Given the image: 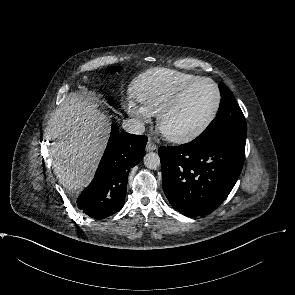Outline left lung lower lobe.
Here are the masks:
<instances>
[{
  "label": "left lung lower lobe",
  "instance_id": "obj_1",
  "mask_svg": "<svg viewBox=\"0 0 295 295\" xmlns=\"http://www.w3.org/2000/svg\"><path fill=\"white\" fill-rule=\"evenodd\" d=\"M162 185L172 207L188 217L210 214L229 195L243 167L245 145L213 138L160 147Z\"/></svg>",
  "mask_w": 295,
  "mask_h": 295
}]
</instances>
